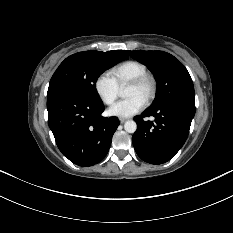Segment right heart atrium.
Instances as JSON below:
<instances>
[{
  "mask_svg": "<svg viewBox=\"0 0 233 233\" xmlns=\"http://www.w3.org/2000/svg\"><path fill=\"white\" fill-rule=\"evenodd\" d=\"M93 86L99 99L106 105L113 104L119 95V87L108 73L98 75Z\"/></svg>",
  "mask_w": 233,
  "mask_h": 233,
  "instance_id": "right-heart-atrium-1",
  "label": "right heart atrium"
}]
</instances>
